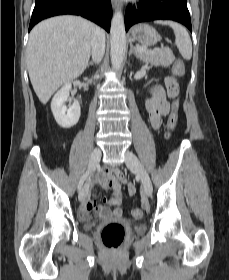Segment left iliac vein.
I'll return each mask as SVG.
<instances>
[{
	"instance_id": "1",
	"label": "left iliac vein",
	"mask_w": 229,
	"mask_h": 280,
	"mask_svg": "<svg viewBox=\"0 0 229 280\" xmlns=\"http://www.w3.org/2000/svg\"><path fill=\"white\" fill-rule=\"evenodd\" d=\"M125 163L131 171L135 172L138 175V177L141 180L145 194L150 197L152 195L153 190L151 179L143 165L140 163L138 157L131 151H126Z\"/></svg>"
}]
</instances>
